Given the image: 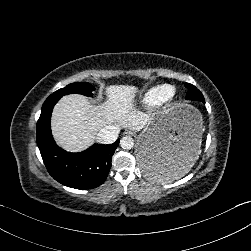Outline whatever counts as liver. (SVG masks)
<instances>
[{
  "label": "liver",
  "mask_w": 251,
  "mask_h": 251,
  "mask_svg": "<svg viewBox=\"0 0 251 251\" xmlns=\"http://www.w3.org/2000/svg\"><path fill=\"white\" fill-rule=\"evenodd\" d=\"M139 86L132 84L106 85L100 105H92L82 94H68L54 105L50 128L54 142L64 151L77 154L97 141L98 132L110 124L130 131L147 125L150 114L139 106Z\"/></svg>",
  "instance_id": "obj_1"
}]
</instances>
